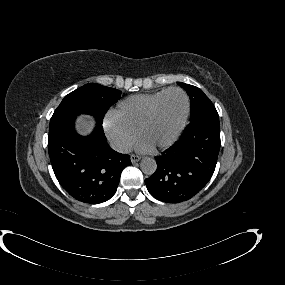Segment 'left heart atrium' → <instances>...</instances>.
I'll return each instance as SVG.
<instances>
[{"instance_id":"1","label":"left heart atrium","mask_w":285,"mask_h":285,"mask_svg":"<svg viewBox=\"0 0 285 285\" xmlns=\"http://www.w3.org/2000/svg\"><path fill=\"white\" fill-rule=\"evenodd\" d=\"M136 148L142 152H150L153 150L154 147L148 144L144 139H140L137 142Z\"/></svg>"}]
</instances>
